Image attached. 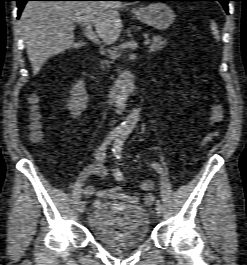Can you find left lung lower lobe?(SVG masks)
Here are the masks:
<instances>
[{
    "label": "left lung lower lobe",
    "instance_id": "obj_1",
    "mask_svg": "<svg viewBox=\"0 0 247 265\" xmlns=\"http://www.w3.org/2000/svg\"><path fill=\"white\" fill-rule=\"evenodd\" d=\"M129 1H180V0H129ZM194 1H219L228 14V2L231 0H194Z\"/></svg>",
    "mask_w": 247,
    "mask_h": 265
}]
</instances>
